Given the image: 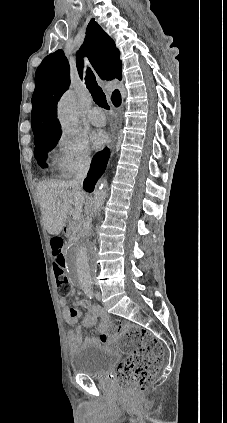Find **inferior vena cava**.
Instances as JSON below:
<instances>
[{
	"instance_id": "1",
	"label": "inferior vena cava",
	"mask_w": 227,
	"mask_h": 423,
	"mask_svg": "<svg viewBox=\"0 0 227 423\" xmlns=\"http://www.w3.org/2000/svg\"><path fill=\"white\" fill-rule=\"evenodd\" d=\"M90 164H91V158L87 156V158H84V160L80 162L79 166H77L75 176L71 182V186L72 188H74V190H79V192L80 190H82L84 178H86L87 176V172L90 168Z\"/></svg>"
}]
</instances>
